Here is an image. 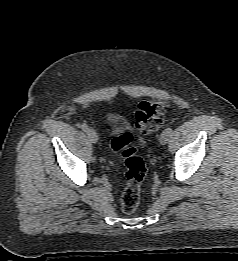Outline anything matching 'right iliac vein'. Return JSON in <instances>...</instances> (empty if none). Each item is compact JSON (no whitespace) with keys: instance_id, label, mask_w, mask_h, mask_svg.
<instances>
[{"instance_id":"right-iliac-vein-1","label":"right iliac vein","mask_w":238,"mask_h":261,"mask_svg":"<svg viewBox=\"0 0 238 261\" xmlns=\"http://www.w3.org/2000/svg\"><path fill=\"white\" fill-rule=\"evenodd\" d=\"M87 136H88V138L90 139V141H91L92 143H94V144L97 143V141H98V136H97V134H96V132H95L94 130L89 129V130L87 131Z\"/></svg>"}]
</instances>
